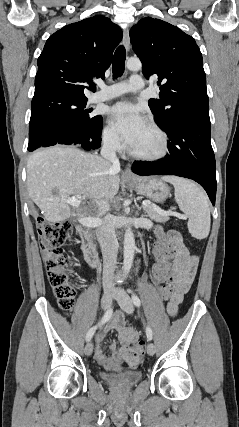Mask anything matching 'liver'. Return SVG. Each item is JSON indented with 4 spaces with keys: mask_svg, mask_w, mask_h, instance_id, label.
Wrapping results in <instances>:
<instances>
[{
    "mask_svg": "<svg viewBox=\"0 0 239 427\" xmlns=\"http://www.w3.org/2000/svg\"><path fill=\"white\" fill-rule=\"evenodd\" d=\"M118 173L110 161L96 154L72 146H51L28 158V193L48 222L84 214L81 200L72 205L70 196L92 199L95 210L85 214L99 218L109 211L119 190Z\"/></svg>",
    "mask_w": 239,
    "mask_h": 427,
    "instance_id": "liver-1",
    "label": "liver"
}]
</instances>
